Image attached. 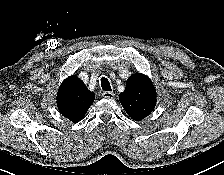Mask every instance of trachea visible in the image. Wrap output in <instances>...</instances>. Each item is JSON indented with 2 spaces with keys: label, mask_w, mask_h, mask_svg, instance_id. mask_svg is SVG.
<instances>
[{
  "label": "trachea",
  "mask_w": 224,
  "mask_h": 175,
  "mask_svg": "<svg viewBox=\"0 0 224 175\" xmlns=\"http://www.w3.org/2000/svg\"><path fill=\"white\" fill-rule=\"evenodd\" d=\"M101 87L104 91H112L110 82L105 77L101 78Z\"/></svg>",
  "instance_id": "3493384b"
}]
</instances>
